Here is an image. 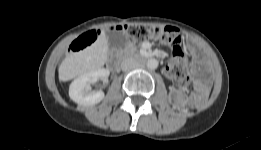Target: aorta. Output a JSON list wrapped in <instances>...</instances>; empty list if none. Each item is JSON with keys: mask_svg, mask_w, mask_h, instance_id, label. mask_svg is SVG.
Instances as JSON below:
<instances>
[{"mask_svg": "<svg viewBox=\"0 0 261 150\" xmlns=\"http://www.w3.org/2000/svg\"><path fill=\"white\" fill-rule=\"evenodd\" d=\"M147 68L150 70H155L158 67V61L154 58L148 59L147 61Z\"/></svg>", "mask_w": 261, "mask_h": 150, "instance_id": "762f6f07", "label": "aorta"}]
</instances>
